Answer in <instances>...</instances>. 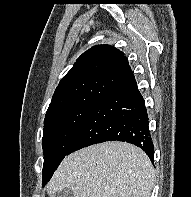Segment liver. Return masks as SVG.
Wrapping results in <instances>:
<instances>
[{"mask_svg": "<svg viewBox=\"0 0 191 197\" xmlns=\"http://www.w3.org/2000/svg\"><path fill=\"white\" fill-rule=\"evenodd\" d=\"M155 171L146 153L125 142H104L66 156L46 188L74 197H150Z\"/></svg>", "mask_w": 191, "mask_h": 197, "instance_id": "obj_1", "label": "liver"}]
</instances>
